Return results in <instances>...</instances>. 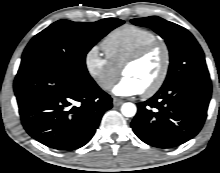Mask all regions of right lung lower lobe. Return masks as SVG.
I'll use <instances>...</instances> for the list:
<instances>
[{
	"label": "right lung lower lobe",
	"instance_id": "98d812e1",
	"mask_svg": "<svg viewBox=\"0 0 220 173\" xmlns=\"http://www.w3.org/2000/svg\"><path fill=\"white\" fill-rule=\"evenodd\" d=\"M14 91L27 133L57 150L88 143L112 107L110 96L91 77L76 79L54 69H19Z\"/></svg>",
	"mask_w": 220,
	"mask_h": 173
}]
</instances>
